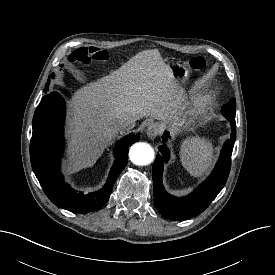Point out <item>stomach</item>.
Here are the masks:
<instances>
[{"instance_id": "stomach-1", "label": "stomach", "mask_w": 275, "mask_h": 275, "mask_svg": "<svg viewBox=\"0 0 275 275\" xmlns=\"http://www.w3.org/2000/svg\"><path fill=\"white\" fill-rule=\"evenodd\" d=\"M173 72V76L177 83L184 84L186 80L188 79L189 70L184 65H181L179 63L172 62L171 64H168ZM161 128H165L164 124H160Z\"/></svg>"}]
</instances>
